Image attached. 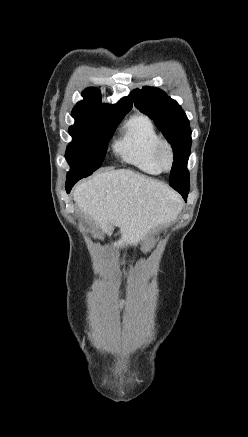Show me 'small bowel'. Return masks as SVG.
<instances>
[{"label": "small bowel", "mask_w": 248, "mask_h": 437, "mask_svg": "<svg viewBox=\"0 0 248 437\" xmlns=\"http://www.w3.org/2000/svg\"><path fill=\"white\" fill-rule=\"evenodd\" d=\"M119 305H124V300H119Z\"/></svg>", "instance_id": "c3829d8e"}]
</instances>
